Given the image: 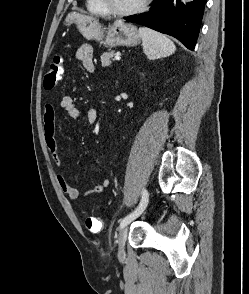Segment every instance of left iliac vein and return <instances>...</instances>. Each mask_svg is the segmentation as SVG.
<instances>
[{
	"mask_svg": "<svg viewBox=\"0 0 249 294\" xmlns=\"http://www.w3.org/2000/svg\"><path fill=\"white\" fill-rule=\"evenodd\" d=\"M128 229L127 227H122L118 234V258L123 259L125 256V243L127 238Z\"/></svg>",
	"mask_w": 249,
	"mask_h": 294,
	"instance_id": "left-iliac-vein-1",
	"label": "left iliac vein"
}]
</instances>
